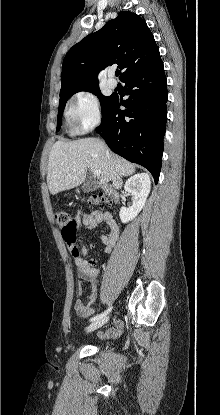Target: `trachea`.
Here are the masks:
<instances>
[{"mask_svg": "<svg viewBox=\"0 0 220 415\" xmlns=\"http://www.w3.org/2000/svg\"><path fill=\"white\" fill-rule=\"evenodd\" d=\"M115 74H116V76H119L120 72L118 70H116Z\"/></svg>", "mask_w": 220, "mask_h": 415, "instance_id": "obj_1", "label": "trachea"}]
</instances>
